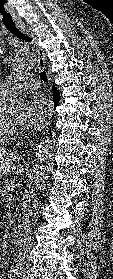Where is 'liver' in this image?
Wrapping results in <instances>:
<instances>
[{
	"label": "liver",
	"instance_id": "1",
	"mask_svg": "<svg viewBox=\"0 0 113 279\" xmlns=\"http://www.w3.org/2000/svg\"><path fill=\"white\" fill-rule=\"evenodd\" d=\"M18 156L15 153L7 152L5 150H1L0 152V173L8 174L16 172L19 174L22 172L21 169H16V162Z\"/></svg>",
	"mask_w": 113,
	"mask_h": 279
}]
</instances>
